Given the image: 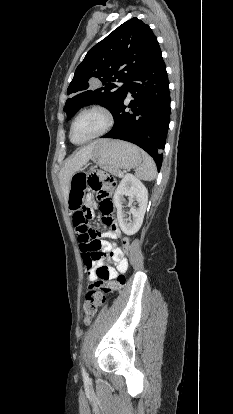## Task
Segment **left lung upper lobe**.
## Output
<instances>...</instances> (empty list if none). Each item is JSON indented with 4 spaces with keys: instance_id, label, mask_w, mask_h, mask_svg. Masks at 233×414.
Segmentation results:
<instances>
[{
    "instance_id": "left-lung-upper-lobe-1",
    "label": "left lung upper lobe",
    "mask_w": 233,
    "mask_h": 414,
    "mask_svg": "<svg viewBox=\"0 0 233 414\" xmlns=\"http://www.w3.org/2000/svg\"><path fill=\"white\" fill-rule=\"evenodd\" d=\"M159 51L157 38L147 24L132 18L120 25L91 48L77 67L67 90L71 95L64 107L67 117L92 103L112 113L131 81ZM115 81L124 85L118 87Z\"/></svg>"
}]
</instances>
